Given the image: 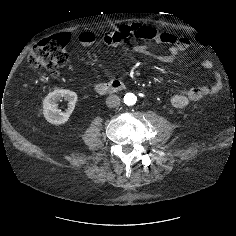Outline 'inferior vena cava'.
<instances>
[{
	"mask_svg": "<svg viewBox=\"0 0 236 236\" xmlns=\"http://www.w3.org/2000/svg\"><path fill=\"white\" fill-rule=\"evenodd\" d=\"M120 104V98L117 95H109L106 99V105L110 108L117 107Z\"/></svg>",
	"mask_w": 236,
	"mask_h": 236,
	"instance_id": "602c4592",
	"label": "inferior vena cava"
}]
</instances>
